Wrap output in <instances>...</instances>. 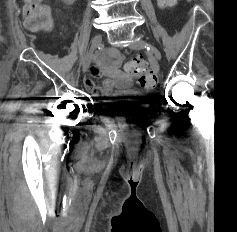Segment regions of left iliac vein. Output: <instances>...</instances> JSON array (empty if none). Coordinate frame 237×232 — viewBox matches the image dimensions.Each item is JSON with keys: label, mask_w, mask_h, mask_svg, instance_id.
<instances>
[{"label": "left iliac vein", "mask_w": 237, "mask_h": 232, "mask_svg": "<svg viewBox=\"0 0 237 232\" xmlns=\"http://www.w3.org/2000/svg\"><path fill=\"white\" fill-rule=\"evenodd\" d=\"M146 45L150 46L151 52L154 54L157 60H161V52L154 45L148 44L145 41H134L130 44V48L134 50H141L146 47Z\"/></svg>", "instance_id": "obj_1"}]
</instances>
